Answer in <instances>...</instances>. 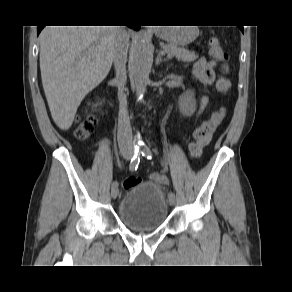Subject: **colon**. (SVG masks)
I'll return each mask as SVG.
<instances>
[{
	"mask_svg": "<svg viewBox=\"0 0 292 292\" xmlns=\"http://www.w3.org/2000/svg\"><path fill=\"white\" fill-rule=\"evenodd\" d=\"M210 56L219 61L226 62L227 54L220 44L217 37H213L209 43ZM217 90L226 94L231 88V83L225 75H220L216 81ZM226 117V110L220 108L214 111L210 118L204 121L194 132V141L189 145L190 155L194 158L201 156L203 149L211 142L215 130L219 124ZM96 124V114L85 109L82 116L79 118L74 134L79 140H85L92 133ZM140 183V178L137 176H130L123 181V187L125 189L131 188Z\"/></svg>",
	"mask_w": 292,
	"mask_h": 292,
	"instance_id": "obj_1",
	"label": "colon"
}]
</instances>
